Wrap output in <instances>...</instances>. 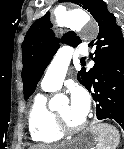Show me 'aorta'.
Returning <instances> with one entry per match:
<instances>
[{"mask_svg": "<svg viewBox=\"0 0 124 149\" xmlns=\"http://www.w3.org/2000/svg\"><path fill=\"white\" fill-rule=\"evenodd\" d=\"M90 16L81 9L69 12H58L56 14V22L59 26H66L72 30H81L90 23ZM57 98L53 99L51 104H56Z\"/></svg>", "mask_w": 124, "mask_h": 149, "instance_id": "aorta-1", "label": "aorta"}]
</instances>
